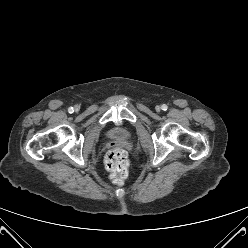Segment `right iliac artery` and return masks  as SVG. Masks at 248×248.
<instances>
[{"instance_id":"right-iliac-artery-1","label":"right iliac artery","mask_w":248,"mask_h":248,"mask_svg":"<svg viewBox=\"0 0 248 248\" xmlns=\"http://www.w3.org/2000/svg\"><path fill=\"white\" fill-rule=\"evenodd\" d=\"M68 112H69V113H73V112H74V108H73V107H70V108L68 109Z\"/></svg>"}]
</instances>
